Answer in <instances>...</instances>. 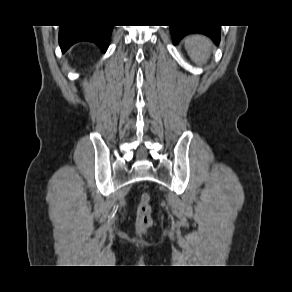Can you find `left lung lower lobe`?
Returning <instances> with one entry per match:
<instances>
[{"mask_svg":"<svg viewBox=\"0 0 292 292\" xmlns=\"http://www.w3.org/2000/svg\"><path fill=\"white\" fill-rule=\"evenodd\" d=\"M173 43L177 44L180 39L190 33H202L209 36L215 44L220 41V26L210 25H174L170 26Z\"/></svg>","mask_w":292,"mask_h":292,"instance_id":"obj_1","label":"left lung lower lobe"}]
</instances>
